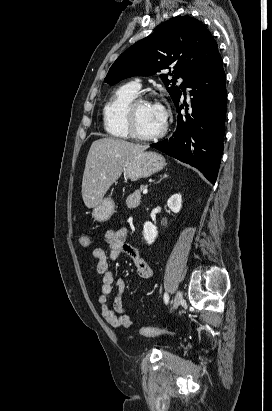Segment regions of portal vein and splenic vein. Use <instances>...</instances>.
I'll use <instances>...</instances> for the list:
<instances>
[{"instance_id": "obj_1", "label": "portal vein and splenic vein", "mask_w": 272, "mask_h": 411, "mask_svg": "<svg viewBox=\"0 0 272 411\" xmlns=\"http://www.w3.org/2000/svg\"><path fill=\"white\" fill-rule=\"evenodd\" d=\"M147 192H148V190L145 188V189L143 190V194H147Z\"/></svg>"}]
</instances>
